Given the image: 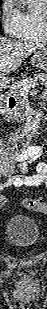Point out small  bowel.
<instances>
[{"label": "small bowel", "mask_w": 47, "mask_h": 309, "mask_svg": "<svg viewBox=\"0 0 47 309\" xmlns=\"http://www.w3.org/2000/svg\"><path fill=\"white\" fill-rule=\"evenodd\" d=\"M17 140V136L12 135L2 141L0 173L5 177V180L0 183V190L10 187H37L47 181V164L45 162L37 163L34 172L28 174L31 163L42 154L45 145L26 146L14 151ZM15 166L18 169V174H14ZM1 200H4V196H1Z\"/></svg>", "instance_id": "small-bowel-1"}]
</instances>
